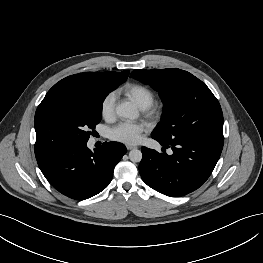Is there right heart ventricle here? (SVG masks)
<instances>
[{
  "instance_id": "obj_1",
  "label": "right heart ventricle",
  "mask_w": 263,
  "mask_h": 263,
  "mask_svg": "<svg viewBox=\"0 0 263 263\" xmlns=\"http://www.w3.org/2000/svg\"><path fill=\"white\" fill-rule=\"evenodd\" d=\"M119 92L133 101L141 109L149 107L155 99L154 91L140 83H127L119 89Z\"/></svg>"
}]
</instances>
